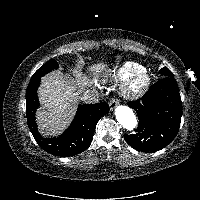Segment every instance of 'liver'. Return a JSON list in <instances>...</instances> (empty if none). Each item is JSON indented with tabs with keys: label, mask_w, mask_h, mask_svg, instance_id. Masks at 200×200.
Listing matches in <instances>:
<instances>
[{
	"label": "liver",
	"mask_w": 200,
	"mask_h": 200,
	"mask_svg": "<svg viewBox=\"0 0 200 200\" xmlns=\"http://www.w3.org/2000/svg\"><path fill=\"white\" fill-rule=\"evenodd\" d=\"M102 69L103 64L91 67L94 72ZM77 77L78 87L83 88L89 84L86 79H81L80 73H77ZM80 93L81 90L76 92V86L60 71H53L42 77L38 97L43 108L36 113L41 134L56 136L67 127L74 115Z\"/></svg>",
	"instance_id": "1"
}]
</instances>
